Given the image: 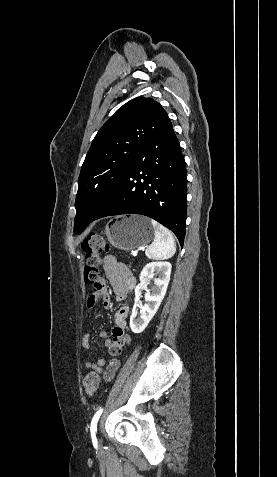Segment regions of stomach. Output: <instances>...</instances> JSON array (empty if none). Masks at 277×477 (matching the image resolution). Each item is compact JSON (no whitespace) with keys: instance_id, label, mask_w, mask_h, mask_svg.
<instances>
[{"instance_id":"0dacf381","label":"stomach","mask_w":277,"mask_h":477,"mask_svg":"<svg viewBox=\"0 0 277 477\" xmlns=\"http://www.w3.org/2000/svg\"><path fill=\"white\" fill-rule=\"evenodd\" d=\"M105 234L113 247L130 251L149 244L155 231L149 218L130 215L112 218L105 227Z\"/></svg>"}]
</instances>
